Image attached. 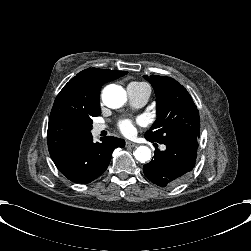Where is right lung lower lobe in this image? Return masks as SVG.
<instances>
[{"instance_id":"1","label":"right lung lower lobe","mask_w":251,"mask_h":251,"mask_svg":"<svg viewBox=\"0 0 251 251\" xmlns=\"http://www.w3.org/2000/svg\"><path fill=\"white\" fill-rule=\"evenodd\" d=\"M93 142L92 135L65 155L53 160L58 170L74 183L87 184L101 176L107 169L113 149L123 148L125 141L116 137L101 138Z\"/></svg>"}]
</instances>
